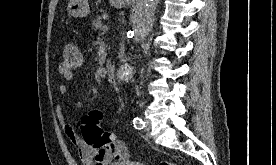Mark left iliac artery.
Listing matches in <instances>:
<instances>
[{"label":"left iliac artery","instance_id":"obj_1","mask_svg":"<svg viewBox=\"0 0 276 165\" xmlns=\"http://www.w3.org/2000/svg\"><path fill=\"white\" fill-rule=\"evenodd\" d=\"M145 122L141 118H134L133 125L136 129H143L145 127Z\"/></svg>","mask_w":276,"mask_h":165}]
</instances>
